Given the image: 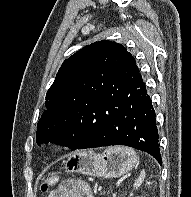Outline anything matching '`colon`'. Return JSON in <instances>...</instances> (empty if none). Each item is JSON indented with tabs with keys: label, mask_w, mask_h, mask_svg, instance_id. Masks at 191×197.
<instances>
[{
	"label": "colon",
	"mask_w": 191,
	"mask_h": 197,
	"mask_svg": "<svg viewBox=\"0 0 191 197\" xmlns=\"http://www.w3.org/2000/svg\"><path fill=\"white\" fill-rule=\"evenodd\" d=\"M57 180V176L55 175L47 176L41 184V190L44 192L48 191L56 184Z\"/></svg>",
	"instance_id": "colon-1"
}]
</instances>
